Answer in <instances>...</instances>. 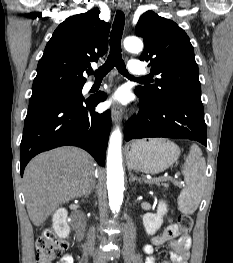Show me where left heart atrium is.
Returning a JSON list of instances; mask_svg holds the SVG:
<instances>
[{
    "instance_id": "obj_1",
    "label": "left heart atrium",
    "mask_w": 233,
    "mask_h": 263,
    "mask_svg": "<svg viewBox=\"0 0 233 263\" xmlns=\"http://www.w3.org/2000/svg\"><path fill=\"white\" fill-rule=\"evenodd\" d=\"M127 102V91L124 88L117 89L110 97L109 105H123Z\"/></svg>"
}]
</instances>
